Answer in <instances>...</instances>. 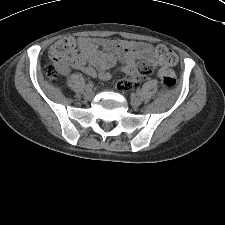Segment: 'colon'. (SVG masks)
I'll return each mask as SVG.
<instances>
[{
  "label": "colon",
  "mask_w": 225,
  "mask_h": 225,
  "mask_svg": "<svg viewBox=\"0 0 225 225\" xmlns=\"http://www.w3.org/2000/svg\"><path fill=\"white\" fill-rule=\"evenodd\" d=\"M51 57L60 65L69 66L75 63L77 59V52L72 38L65 37L56 42L51 48ZM177 62V56L171 50H164L159 56V63L164 67H170ZM155 64L142 61L139 62L135 72L125 78L117 80L115 86L118 90L125 92L133 89L139 84L143 78L148 76ZM46 75L49 80H54L57 76V68L55 65H48L46 67ZM162 83L167 87H173L176 84V76L170 72L161 73Z\"/></svg>",
  "instance_id": "1"
}]
</instances>
